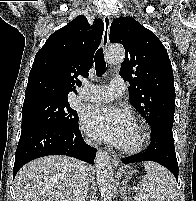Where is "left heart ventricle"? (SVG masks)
Wrapping results in <instances>:
<instances>
[{
    "label": "left heart ventricle",
    "mask_w": 196,
    "mask_h": 201,
    "mask_svg": "<svg viewBox=\"0 0 196 201\" xmlns=\"http://www.w3.org/2000/svg\"><path fill=\"white\" fill-rule=\"evenodd\" d=\"M137 138H138V129L135 125H133L123 146L132 145L137 140Z\"/></svg>",
    "instance_id": "1"
}]
</instances>
